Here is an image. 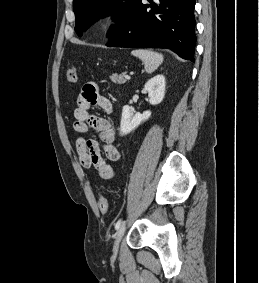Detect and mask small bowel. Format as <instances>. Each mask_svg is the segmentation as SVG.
I'll return each mask as SVG.
<instances>
[{
	"label": "small bowel",
	"instance_id": "1",
	"mask_svg": "<svg viewBox=\"0 0 259 283\" xmlns=\"http://www.w3.org/2000/svg\"><path fill=\"white\" fill-rule=\"evenodd\" d=\"M92 106H98L107 113L112 110L111 100L102 95L94 83H87L77 97L74 110L73 129L78 134L75 140L77 158L84 168H93L99 177L111 180L115 177V170L107 160L115 162L121 157L115 145V130L109 120L90 113ZM90 129L98 133L99 141L84 136Z\"/></svg>",
	"mask_w": 259,
	"mask_h": 283
}]
</instances>
